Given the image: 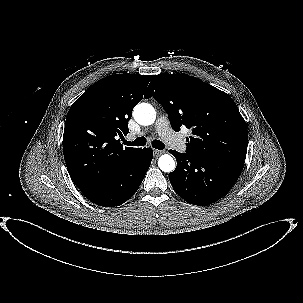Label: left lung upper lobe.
<instances>
[{
  "label": "left lung upper lobe",
  "mask_w": 303,
  "mask_h": 303,
  "mask_svg": "<svg viewBox=\"0 0 303 303\" xmlns=\"http://www.w3.org/2000/svg\"><path fill=\"white\" fill-rule=\"evenodd\" d=\"M145 97L162 105L175 131L192 130L187 153L245 160L247 124L227 93L186 74H159Z\"/></svg>",
  "instance_id": "obj_1"
}]
</instances>
